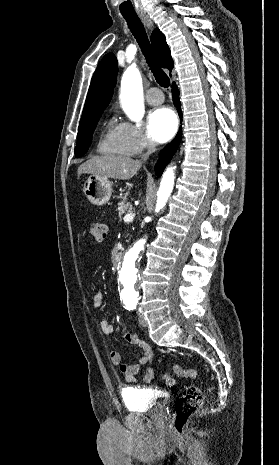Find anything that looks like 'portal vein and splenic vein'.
Returning a JSON list of instances; mask_svg holds the SVG:
<instances>
[{"mask_svg": "<svg viewBox=\"0 0 279 465\" xmlns=\"http://www.w3.org/2000/svg\"><path fill=\"white\" fill-rule=\"evenodd\" d=\"M135 214L129 213L126 214L123 218L124 222H131L134 218Z\"/></svg>", "mask_w": 279, "mask_h": 465, "instance_id": "1", "label": "portal vein and splenic vein"}]
</instances>
